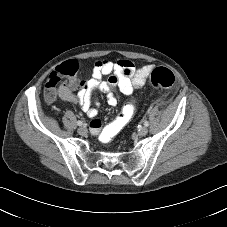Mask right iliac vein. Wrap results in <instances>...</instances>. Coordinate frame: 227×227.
I'll return each instance as SVG.
<instances>
[{
	"instance_id": "1",
	"label": "right iliac vein",
	"mask_w": 227,
	"mask_h": 227,
	"mask_svg": "<svg viewBox=\"0 0 227 227\" xmlns=\"http://www.w3.org/2000/svg\"><path fill=\"white\" fill-rule=\"evenodd\" d=\"M78 133L82 136H84L87 133V129L85 127H80L78 129Z\"/></svg>"
}]
</instances>
